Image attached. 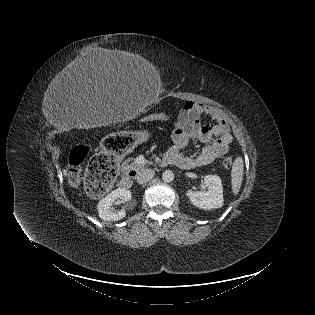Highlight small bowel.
<instances>
[{
    "label": "small bowel",
    "mask_w": 315,
    "mask_h": 315,
    "mask_svg": "<svg viewBox=\"0 0 315 315\" xmlns=\"http://www.w3.org/2000/svg\"><path fill=\"white\" fill-rule=\"evenodd\" d=\"M203 116L214 123H201ZM192 139L204 143L203 149L195 156L184 154ZM173 146L167 152L165 161L182 169L208 165L224 156L232 142L229 126L216 109L200 103L187 102L177 113L175 127L170 135Z\"/></svg>",
    "instance_id": "1"
}]
</instances>
